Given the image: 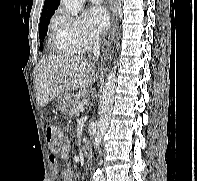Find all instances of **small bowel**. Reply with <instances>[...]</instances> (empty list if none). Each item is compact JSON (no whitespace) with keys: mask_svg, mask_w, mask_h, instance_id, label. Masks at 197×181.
I'll use <instances>...</instances> for the list:
<instances>
[{"mask_svg":"<svg viewBox=\"0 0 197 181\" xmlns=\"http://www.w3.org/2000/svg\"><path fill=\"white\" fill-rule=\"evenodd\" d=\"M69 153V145L64 143L61 150L60 155L62 158H66ZM50 165H51V174L55 178L58 175L59 166L54 155H50ZM61 181H73L74 172L72 168L67 164L65 165L60 172Z\"/></svg>","mask_w":197,"mask_h":181,"instance_id":"small-bowel-1","label":"small bowel"}]
</instances>
